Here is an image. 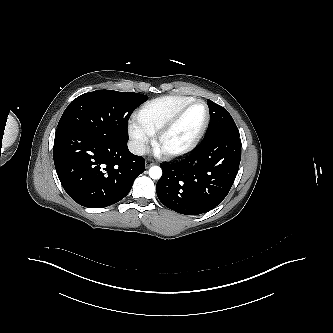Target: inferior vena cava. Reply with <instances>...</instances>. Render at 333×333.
Returning a JSON list of instances; mask_svg holds the SVG:
<instances>
[{
  "label": "inferior vena cava",
  "mask_w": 333,
  "mask_h": 333,
  "mask_svg": "<svg viewBox=\"0 0 333 333\" xmlns=\"http://www.w3.org/2000/svg\"><path fill=\"white\" fill-rule=\"evenodd\" d=\"M128 148L131 153L135 155H144L146 148L145 144L141 141L131 140L128 142Z\"/></svg>",
  "instance_id": "602c4592"
}]
</instances>
